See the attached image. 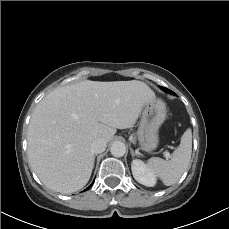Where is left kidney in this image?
<instances>
[{
  "mask_svg": "<svg viewBox=\"0 0 229 229\" xmlns=\"http://www.w3.org/2000/svg\"><path fill=\"white\" fill-rule=\"evenodd\" d=\"M133 177L140 184L153 187L156 184V176L141 160H133L131 163Z\"/></svg>",
  "mask_w": 229,
  "mask_h": 229,
  "instance_id": "1",
  "label": "left kidney"
}]
</instances>
